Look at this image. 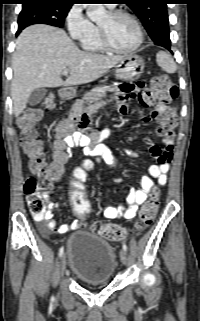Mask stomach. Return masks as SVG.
<instances>
[{"label": "stomach", "mask_w": 200, "mask_h": 321, "mask_svg": "<svg viewBox=\"0 0 200 321\" xmlns=\"http://www.w3.org/2000/svg\"><path fill=\"white\" fill-rule=\"evenodd\" d=\"M144 60L138 55L125 56L116 66V77L123 81L138 79L144 71ZM75 95V90L67 92L68 97Z\"/></svg>", "instance_id": "stomach-1"}]
</instances>
